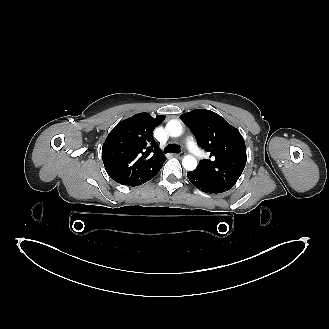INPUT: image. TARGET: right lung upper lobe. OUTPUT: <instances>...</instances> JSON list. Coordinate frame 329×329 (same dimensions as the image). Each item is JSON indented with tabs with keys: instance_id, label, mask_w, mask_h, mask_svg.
<instances>
[{
	"instance_id": "1",
	"label": "right lung upper lobe",
	"mask_w": 329,
	"mask_h": 329,
	"mask_svg": "<svg viewBox=\"0 0 329 329\" xmlns=\"http://www.w3.org/2000/svg\"><path fill=\"white\" fill-rule=\"evenodd\" d=\"M165 119L139 113L119 122L108 134L102 159L108 175L122 185H135L163 165L162 155L153 138L155 127Z\"/></svg>"
}]
</instances>
